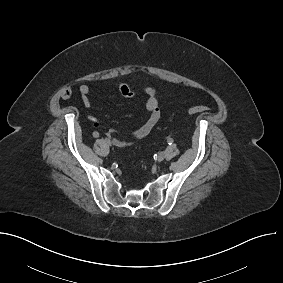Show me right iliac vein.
I'll return each mask as SVG.
<instances>
[{
  "instance_id": "63e3f726",
  "label": "right iliac vein",
  "mask_w": 283,
  "mask_h": 283,
  "mask_svg": "<svg viewBox=\"0 0 283 283\" xmlns=\"http://www.w3.org/2000/svg\"><path fill=\"white\" fill-rule=\"evenodd\" d=\"M105 142H106L107 145L111 146V141H110V139H105Z\"/></svg>"
}]
</instances>
